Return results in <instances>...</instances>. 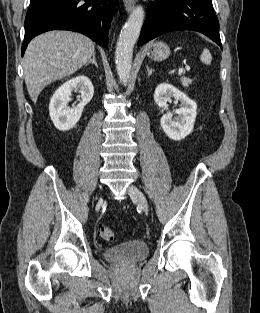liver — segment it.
<instances>
[{"label":"liver","mask_w":260,"mask_h":313,"mask_svg":"<svg viewBox=\"0 0 260 313\" xmlns=\"http://www.w3.org/2000/svg\"><path fill=\"white\" fill-rule=\"evenodd\" d=\"M95 53L91 39L72 31H49L28 45L23 62L28 93L36 103L50 83L75 73Z\"/></svg>","instance_id":"1"}]
</instances>
